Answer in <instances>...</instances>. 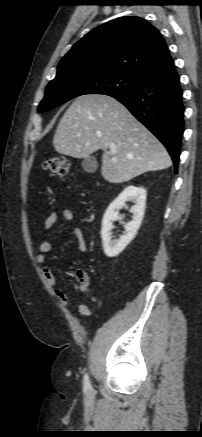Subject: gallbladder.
<instances>
[{"label": "gallbladder", "mask_w": 202, "mask_h": 437, "mask_svg": "<svg viewBox=\"0 0 202 437\" xmlns=\"http://www.w3.org/2000/svg\"><path fill=\"white\" fill-rule=\"evenodd\" d=\"M83 169L87 172H95L97 169V162L93 156H89L85 158L82 162Z\"/></svg>", "instance_id": "1"}]
</instances>
